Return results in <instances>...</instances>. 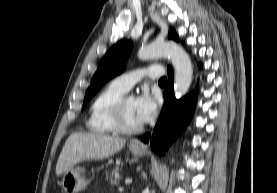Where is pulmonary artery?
<instances>
[{
	"label": "pulmonary artery",
	"mask_w": 277,
	"mask_h": 193,
	"mask_svg": "<svg viewBox=\"0 0 277 193\" xmlns=\"http://www.w3.org/2000/svg\"><path fill=\"white\" fill-rule=\"evenodd\" d=\"M163 75V68L159 65H152L144 69L134 70L124 73L113 80V83L124 90L129 91L143 77L151 79L160 78Z\"/></svg>",
	"instance_id": "e3ab8cb5"
}]
</instances>
